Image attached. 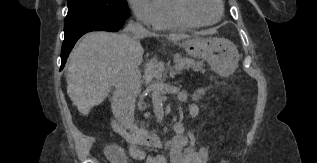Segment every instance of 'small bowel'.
Masks as SVG:
<instances>
[{"label":"small bowel","instance_id":"obj_1","mask_svg":"<svg viewBox=\"0 0 317 163\" xmlns=\"http://www.w3.org/2000/svg\"><path fill=\"white\" fill-rule=\"evenodd\" d=\"M202 94V91H197L193 100L197 101ZM182 102H187L185 95H181ZM189 114L192 117L197 116L198 108L195 103H189ZM175 137L168 141L166 146L170 150L171 163H207L209 150L206 147L195 148L190 145L192 134L187 131L182 123L175 124ZM129 155L135 160L143 161L144 163H168L166 157L162 155L150 156L147 155L139 146L130 147ZM106 156L111 163H127V154L123 151L121 156L113 157L110 155L108 148Z\"/></svg>","mask_w":317,"mask_h":163}]
</instances>
